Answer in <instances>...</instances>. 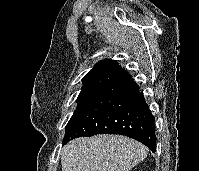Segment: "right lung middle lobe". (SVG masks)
Returning a JSON list of instances; mask_svg holds the SVG:
<instances>
[{
    "mask_svg": "<svg viewBox=\"0 0 199 171\" xmlns=\"http://www.w3.org/2000/svg\"><path fill=\"white\" fill-rule=\"evenodd\" d=\"M114 77L112 76H97L83 81V87L81 93L77 98V108L74 111L71 119L66 126V132L71 124L76 119L79 112L88 104V102L103 88L105 87ZM66 134V133H65Z\"/></svg>",
    "mask_w": 199,
    "mask_h": 171,
    "instance_id": "obj_1",
    "label": "right lung middle lobe"
}]
</instances>
